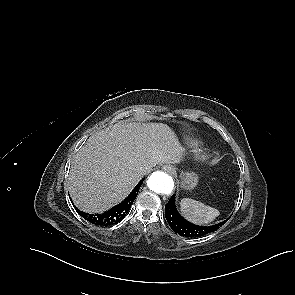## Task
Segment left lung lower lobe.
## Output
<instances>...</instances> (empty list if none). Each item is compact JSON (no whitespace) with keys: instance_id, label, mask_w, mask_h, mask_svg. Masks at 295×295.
<instances>
[{"instance_id":"left-lung-lower-lobe-1","label":"left lung lower lobe","mask_w":295,"mask_h":295,"mask_svg":"<svg viewBox=\"0 0 295 295\" xmlns=\"http://www.w3.org/2000/svg\"><path fill=\"white\" fill-rule=\"evenodd\" d=\"M165 217L170 227L181 236L200 237L216 231L227 220L212 226H198L185 220L177 211L175 205V195H173L165 205Z\"/></svg>"}]
</instances>
